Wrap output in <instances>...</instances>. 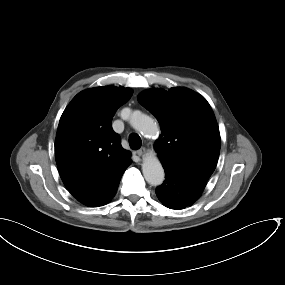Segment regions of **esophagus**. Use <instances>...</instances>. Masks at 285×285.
Masks as SVG:
<instances>
[{
	"label": "esophagus",
	"mask_w": 285,
	"mask_h": 285,
	"mask_svg": "<svg viewBox=\"0 0 285 285\" xmlns=\"http://www.w3.org/2000/svg\"><path fill=\"white\" fill-rule=\"evenodd\" d=\"M145 153H146V149H145L144 147H142V148H140V149H138V150L136 151V154H137L138 156H144Z\"/></svg>",
	"instance_id": "obj_1"
}]
</instances>
